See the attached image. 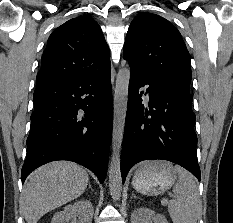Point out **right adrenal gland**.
Returning <instances> with one entry per match:
<instances>
[{
    "label": "right adrenal gland",
    "mask_w": 233,
    "mask_h": 223,
    "mask_svg": "<svg viewBox=\"0 0 233 223\" xmlns=\"http://www.w3.org/2000/svg\"><path fill=\"white\" fill-rule=\"evenodd\" d=\"M89 189H92V187H91V185H90V181H89ZM92 191H93V189H92Z\"/></svg>",
    "instance_id": "right-adrenal-gland-1"
}]
</instances>
